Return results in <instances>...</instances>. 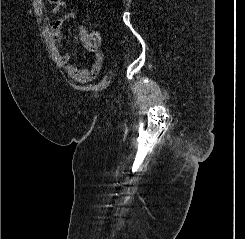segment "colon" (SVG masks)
<instances>
[{
    "instance_id": "obj_1",
    "label": "colon",
    "mask_w": 245,
    "mask_h": 239,
    "mask_svg": "<svg viewBox=\"0 0 245 239\" xmlns=\"http://www.w3.org/2000/svg\"><path fill=\"white\" fill-rule=\"evenodd\" d=\"M51 3L57 2V0H49ZM98 37L95 34H90L86 37V46L90 49H95L98 44Z\"/></svg>"
}]
</instances>
